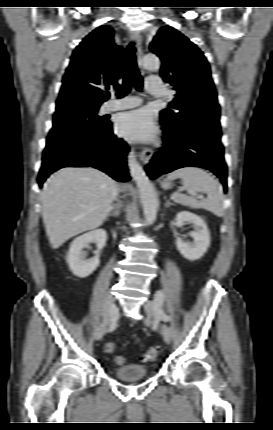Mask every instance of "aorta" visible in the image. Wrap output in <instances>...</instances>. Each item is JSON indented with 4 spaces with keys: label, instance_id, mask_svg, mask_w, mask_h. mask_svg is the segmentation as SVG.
Listing matches in <instances>:
<instances>
[{
    "label": "aorta",
    "instance_id": "obj_1",
    "mask_svg": "<svg viewBox=\"0 0 273 430\" xmlns=\"http://www.w3.org/2000/svg\"><path fill=\"white\" fill-rule=\"evenodd\" d=\"M142 65L145 69L157 71L160 68V60L157 55L148 54L143 57ZM128 165L130 175L136 182L140 191L145 220L147 224H152L156 219L157 209L159 206L155 189L148 176L138 163L134 151H132L128 156Z\"/></svg>",
    "mask_w": 273,
    "mask_h": 430
}]
</instances>
